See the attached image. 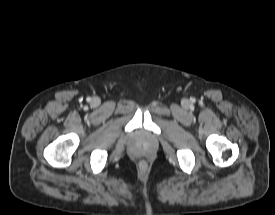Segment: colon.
<instances>
[{
	"mask_svg": "<svg viewBox=\"0 0 275 215\" xmlns=\"http://www.w3.org/2000/svg\"><path fill=\"white\" fill-rule=\"evenodd\" d=\"M145 166H146V164H145L144 162H142V163L140 164V167H141V168H145Z\"/></svg>",
	"mask_w": 275,
	"mask_h": 215,
	"instance_id": "1",
	"label": "colon"
}]
</instances>
